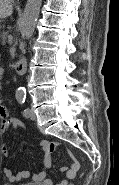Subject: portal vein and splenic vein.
<instances>
[{"instance_id": "18ae733b", "label": "portal vein and splenic vein", "mask_w": 119, "mask_h": 185, "mask_svg": "<svg viewBox=\"0 0 119 185\" xmlns=\"http://www.w3.org/2000/svg\"><path fill=\"white\" fill-rule=\"evenodd\" d=\"M8 43L9 44L13 43V37L11 35L8 36Z\"/></svg>"}]
</instances>
